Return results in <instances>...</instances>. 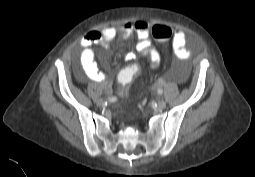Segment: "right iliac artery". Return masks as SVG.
Listing matches in <instances>:
<instances>
[{"label":"right iliac artery","instance_id":"right-iliac-artery-1","mask_svg":"<svg viewBox=\"0 0 255 177\" xmlns=\"http://www.w3.org/2000/svg\"><path fill=\"white\" fill-rule=\"evenodd\" d=\"M108 100H109L110 102H115V101L117 100V98H116V97H109Z\"/></svg>","mask_w":255,"mask_h":177}]
</instances>
